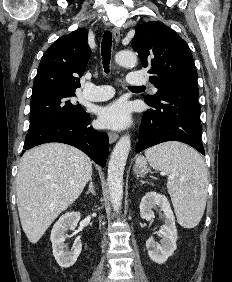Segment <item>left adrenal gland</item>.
I'll list each match as a JSON object with an SVG mask.
<instances>
[{
    "instance_id": "left-adrenal-gland-1",
    "label": "left adrenal gland",
    "mask_w": 232,
    "mask_h": 282,
    "mask_svg": "<svg viewBox=\"0 0 232 282\" xmlns=\"http://www.w3.org/2000/svg\"><path fill=\"white\" fill-rule=\"evenodd\" d=\"M141 183H142V184H144V183H146V182H144V181H141Z\"/></svg>"
}]
</instances>
